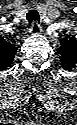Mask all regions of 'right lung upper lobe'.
<instances>
[{"mask_svg":"<svg viewBox=\"0 0 77 125\" xmlns=\"http://www.w3.org/2000/svg\"><path fill=\"white\" fill-rule=\"evenodd\" d=\"M16 48L0 37V69L5 70L14 60Z\"/></svg>","mask_w":77,"mask_h":125,"instance_id":"obj_1","label":"right lung upper lobe"}]
</instances>
